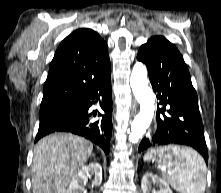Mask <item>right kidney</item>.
Segmentation results:
<instances>
[{
  "label": "right kidney",
  "instance_id": "obj_1",
  "mask_svg": "<svg viewBox=\"0 0 221 193\" xmlns=\"http://www.w3.org/2000/svg\"><path fill=\"white\" fill-rule=\"evenodd\" d=\"M92 175H94V185L99 186L102 182V167L99 163L83 166L72 178L67 193H83L84 185Z\"/></svg>",
  "mask_w": 221,
  "mask_h": 193
}]
</instances>
